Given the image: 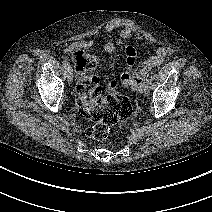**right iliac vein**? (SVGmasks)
Wrapping results in <instances>:
<instances>
[{"label": "right iliac vein", "mask_w": 212, "mask_h": 212, "mask_svg": "<svg viewBox=\"0 0 212 212\" xmlns=\"http://www.w3.org/2000/svg\"><path fill=\"white\" fill-rule=\"evenodd\" d=\"M67 79L69 83H72L73 81V73L71 71V69H67Z\"/></svg>", "instance_id": "1"}]
</instances>
